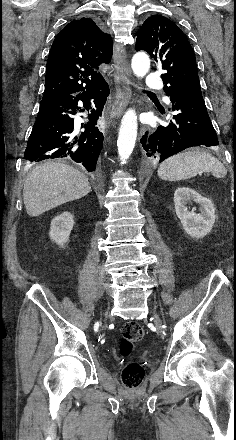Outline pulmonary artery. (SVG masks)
<instances>
[{"mask_svg": "<svg viewBox=\"0 0 236 440\" xmlns=\"http://www.w3.org/2000/svg\"><path fill=\"white\" fill-rule=\"evenodd\" d=\"M161 78L156 74H150L145 81V85L149 89H160L162 86Z\"/></svg>", "mask_w": 236, "mask_h": 440, "instance_id": "obj_1", "label": "pulmonary artery"}]
</instances>
